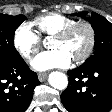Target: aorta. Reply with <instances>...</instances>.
Instances as JSON below:
<instances>
[{
  "label": "aorta",
  "mask_w": 112,
  "mask_h": 112,
  "mask_svg": "<svg viewBox=\"0 0 112 112\" xmlns=\"http://www.w3.org/2000/svg\"><path fill=\"white\" fill-rule=\"evenodd\" d=\"M48 82L53 88L58 90H64L68 86L67 76L59 71L51 72L49 74Z\"/></svg>",
  "instance_id": "aorta-1"
}]
</instances>
